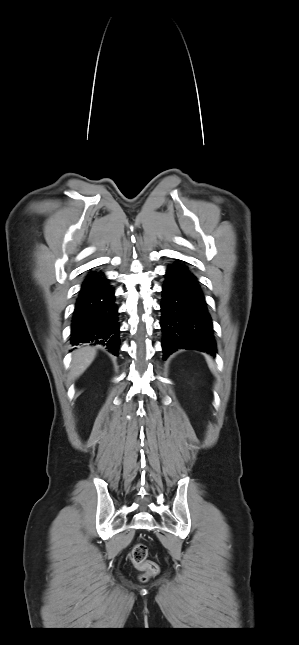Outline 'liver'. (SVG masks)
<instances>
[{
	"instance_id": "6515ba94",
	"label": "liver",
	"mask_w": 299,
	"mask_h": 645,
	"mask_svg": "<svg viewBox=\"0 0 299 645\" xmlns=\"http://www.w3.org/2000/svg\"><path fill=\"white\" fill-rule=\"evenodd\" d=\"M96 350L92 347H82L73 353L71 375L78 378L93 362Z\"/></svg>"
}]
</instances>
